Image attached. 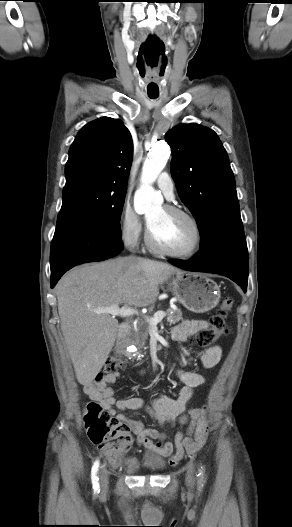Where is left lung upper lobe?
Masks as SVG:
<instances>
[{"label":"left lung upper lobe","mask_w":292,"mask_h":527,"mask_svg":"<svg viewBox=\"0 0 292 527\" xmlns=\"http://www.w3.org/2000/svg\"><path fill=\"white\" fill-rule=\"evenodd\" d=\"M165 138L172 149L170 168L178 194L197 220L200 250L245 240L235 178L217 134L192 123L174 127Z\"/></svg>","instance_id":"left-lung-upper-lobe-1"}]
</instances>
